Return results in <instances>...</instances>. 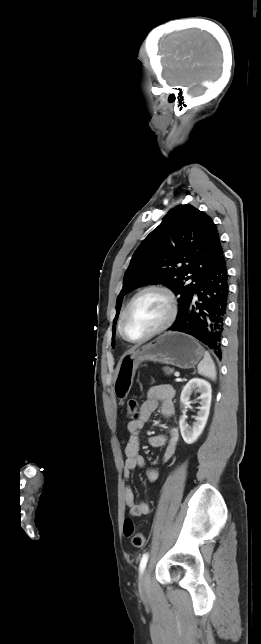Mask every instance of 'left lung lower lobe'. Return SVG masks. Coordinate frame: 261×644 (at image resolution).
<instances>
[{"label":"left lung lower lobe","mask_w":261,"mask_h":644,"mask_svg":"<svg viewBox=\"0 0 261 644\" xmlns=\"http://www.w3.org/2000/svg\"><path fill=\"white\" fill-rule=\"evenodd\" d=\"M229 284L224 253L210 266L188 305L168 329L194 336L221 358Z\"/></svg>","instance_id":"0a47b994"}]
</instances>
